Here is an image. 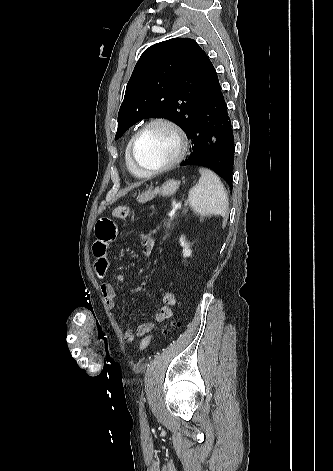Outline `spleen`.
Returning a JSON list of instances; mask_svg holds the SVG:
<instances>
[{
    "mask_svg": "<svg viewBox=\"0 0 333 471\" xmlns=\"http://www.w3.org/2000/svg\"><path fill=\"white\" fill-rule=\"evenodd\" d=\"M199 182L189 191L188 202L200 216H222L228 212V197L219 177L209 169L200 168Z\"/></svg>",
    "mask_w": 333,
    "mask_h": 471,
    "instance_id": "spleen-1",
    "label": "spleen"
}]
</instances>
